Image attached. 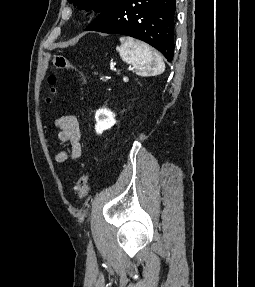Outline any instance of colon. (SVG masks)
<instances>
[{
	"label": "colon",
	"instance_id": "colon-1",
	"mask_svg": "<svg viewBox=\"0 0 255 287\" xmlns=\"http://www.w3.org/2000/svg\"><path fill=\"white\" fill-rule=\"evenodd\" d=\"M53 68L54 70H76L81 74L84 83H87V78L84 73L78 70L66 57L62 55H57L54 57ZM56 83V76L54 74L50 75L48 78V84L50 86V97L48 98V101H51V98L57 92ZM89 189V175L88 173H83L76 185V191L79 198H85L89 193Z\"/></svg>",
	"mask_w": 255,
	"mask_h": 287
}]
</instances>
